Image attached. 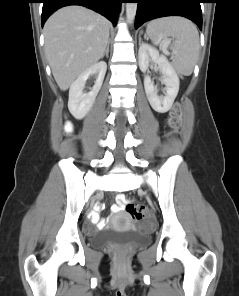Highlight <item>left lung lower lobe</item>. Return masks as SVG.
I'll list each match as a JSON object with an SVG mask.
<instances>
[{"mask_svg":"<svg viewBox=\"0 0 239 296\" xmlns=\"http://www.w3.org/2000/svg\"><path fill=\"white\" fill-rule=\"evenodd\" d=\"M138 3L135 18L137 29L144 22L165 16H183L202 30V0H133Z\"/></svg>","mask_w":239,"mask_h":296,"instance_id":"obj_1","label":"left lung lower lobe"}]
</instances>
